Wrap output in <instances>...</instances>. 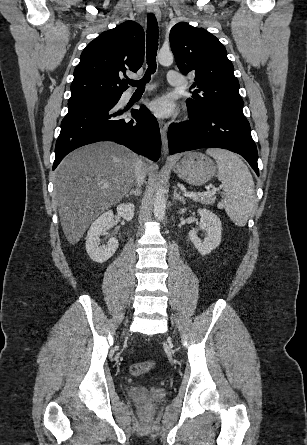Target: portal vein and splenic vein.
I'll list each match as a JSON object with an SVG mask.
<instances>
[{"instance_id":"18ae733b","label":"portal vein and splenic vein","mask_w":307,"mask_h":445,"mask_svg":"<svg viewBox=\"0 0 307 445\" xmlns=\"http://www.w3.org/2000/svg\"><path fill=\"white\" fill-rule=\"evenodd\" d=\"M205 188H207V192H216L217 188L216 186H212V184H209V186H205ZM211 188V190H210ZM207 192H190V194H188V192H184L185 196H199V194H201V196H204V194H207Z\"/></svg>"}]
</instances>
